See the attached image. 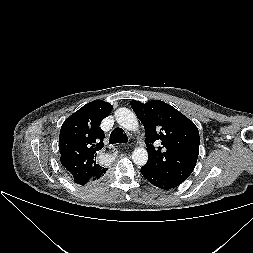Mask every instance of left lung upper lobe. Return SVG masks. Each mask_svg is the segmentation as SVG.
Segmentation results:
<instances>
[{
  "label": "left lung upper lobe",
  "instance_id": "obj_1",
  "mask_svg": "<svg viewBox=\"0 0 253 253\" xmlns=\"http://www.w3.org/2000/svg\"><path fill=\"white\" fill-rule=\"evenodd\" d=\"M130 104L145 128L149 158L144 166L173 181L184 182L194 170L199 154L196 125L160 100L145 104L133 100ZM154 142L161 146L155 148Z\"/></svg>",
  "mask_w": 253,
  "mask_h": 253
}]
</instances>
